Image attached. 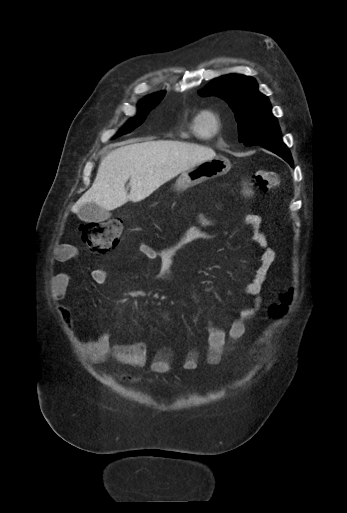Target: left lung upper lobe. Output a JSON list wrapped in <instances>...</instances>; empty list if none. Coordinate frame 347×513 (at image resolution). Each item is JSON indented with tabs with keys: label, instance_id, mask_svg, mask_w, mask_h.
Masks as SVG:
<instances>
[{
	"label": "left lung upper lobe",
	"instance_id": "left-lung-upper-lobe-1",
	"mask_svg": "<svg viewBox=\"0 0 347 513\" xmlns=\"http://www.w3.org/2000/svg\"><path fill=\"white\" fill-rule=\"evenodd\" d=\"M199 95H216L228 102L238 122L239 141L244 145L262 146L282 142L270 102L258 91L252 77L231 74L214 79Z\"/></svg>",
	"mask_w": 347,
	"mask_h": 513
}]
</instances>
